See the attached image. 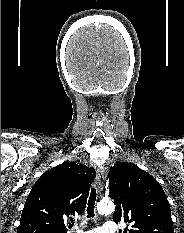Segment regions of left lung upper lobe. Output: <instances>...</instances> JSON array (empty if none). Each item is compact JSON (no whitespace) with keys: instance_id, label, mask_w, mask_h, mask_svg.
I'll return each instance as SVG.
<instances>
[{"instance_id":"obj_1","label":"left lung upper lobe","mask_w":184,"mask_h":233,"mask_svg":"<svg viewBox=\"0 0 184 233\" xmlns=\"http://www.w3.org/2000/svg\"><path fill=\"white\" fill-rule=\"evenodd\" d=\"M113 220L130 224L123 233H174L170 204L159 184L133 163H116L109 171ZM121 233V230H119Z\"/></svg>"}]
</instances>
